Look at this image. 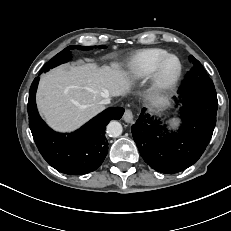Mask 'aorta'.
Listing matches in <instances>:
<instances>
[{
    "mask_svg": "<svg viewBox=\"0 0 231 231\" xmlns=\"http://www.w3.org/2000/svg\"><path fill=\"white\" fill-rule=\"evenodd\" d=\"M123 128L122 125L118 121H111L107 125V134L110 137H119L122 134Z\"/></svg>",
    "mask_w": 231,
    "mask_h": 231,
    "instance_id": "obj_1",
    "label": "aorta"
}]
</instances>
